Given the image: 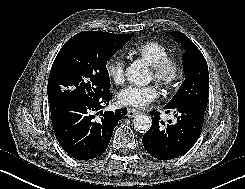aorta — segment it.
Segmentation results:
<instances>
[{"label": "aorta", "mask_w": 245, "mask_h": 189, "mask_svg": "<svg viewBox=\"0 0 245 189\" xmlns=\"http://www.w3.org/2000/svg\"><path fill=\"white\" fill-rule=\"evenodd\" d=\"M125 75L128 81L138 86H145L150 82L148 69L138 61L126 68ZM133 126L136 131L145 133L151 127V120L146 114H138L133 119Z\"/></svg>", "instance_id": "obj_1"}]
</instances>
